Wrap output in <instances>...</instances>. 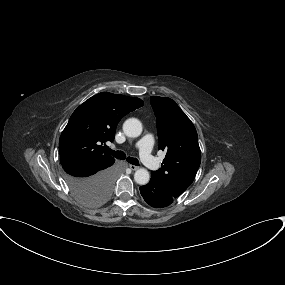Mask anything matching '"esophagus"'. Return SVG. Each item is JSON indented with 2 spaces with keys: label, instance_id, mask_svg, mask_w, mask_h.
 <instances>
[{
  "label": "esophagus",
  "instance_id": "esophagus-1",
  "mask_svg": "<svg viewBox=\"0 0 285 285\" xmlns=\"http://www.w3.org/2000/svg\"><path fill=\"white\" fill-rule=\"evenodd\" d=\"M129 168L132 170V171H135L138 169V167L136 165H129Z\"/></svg>",
  "mask_w": 285,
  "mask_h": 285
}]
</instances>
